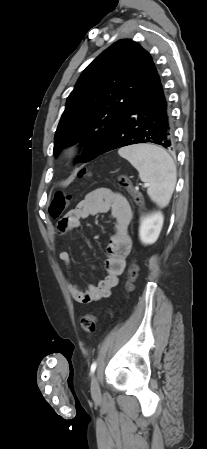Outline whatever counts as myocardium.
I'll return each mask as SVG.
<instances>
[{"label":"myocardium","instance_id":"f54148a6","mask_svg":"<svg viewBox=\"0 0 207 449\" xmlns=\"http://www.w3.org/2000/svg\"><path fill=\"white\" fill-rule=\"evenodd\" d=\"M78 151H79V147H78V146H71V147H69V148L66 149V155H67V156H73V155H75Z\"/></svg>","mask_w":207,"mask_h":449}]
</instances>
